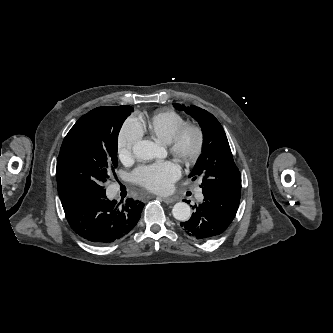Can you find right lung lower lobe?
Wrapping results in <instances>:
<instances>
[{"label": "right lung lower lobe", "mask_w": 333, "mask_h": 333, "mask_svg": "<svg viewBox=\"0 0 333 333\" xmlns=\"http://www.w3.org/2000/svg\"><path fill=\"white\" fill-rule=\"evenodd\" d=\"M67 221L77 235L96 245H107L127 235L140 219L144 203L131 198L125 203L103 197L62 202Z\"/></svg>", "instance_id": "obj_1"}]
</instances>
